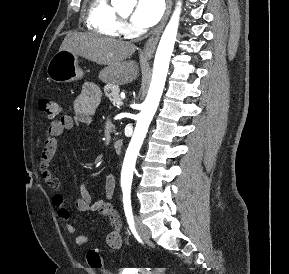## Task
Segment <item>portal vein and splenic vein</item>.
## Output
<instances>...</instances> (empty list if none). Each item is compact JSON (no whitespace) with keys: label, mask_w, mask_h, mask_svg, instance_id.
I'll return each instance as SVG.
<instances>
[{"label":"portal vein and splenic vein","mask_w":289,"mask_h":274,"mask_svg":"<svg viewBox=\"0 0 289 274\" xmlns=\"http://www.w3.org/2000/svg\"><path fill=\"white\" fill-rule=\"evenodd\" d=\"M115 103H116L117 105H121V104H122V99L118 98V99L115 101Z\"/></svg>","instance_id":"portal-vein-and-splenic-vein-1"}]
</instances>
